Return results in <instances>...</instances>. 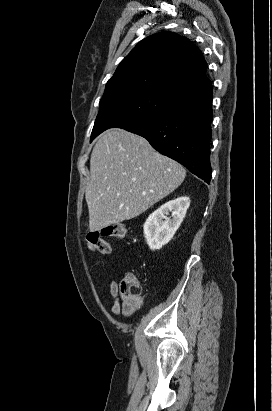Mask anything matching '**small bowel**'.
I'll use <instances>...</instances> for the list:
<instances>
[{"mask_svg":"<svg viewBox=\"0 0 272 411\" xmlns=\"http://www.w3.org/2000/svg\"><path fill=\"white\" fill-rule=\"evenodd\" d=\"M109 291H110L111 296L114 299L113 305H112V308H111L112 314L114 316H119L121 314V311H122V305H121L120 300L118 298V284H117L116 281L110 282Z\"/></svg>","mask_w":272,"mask_h":411,"instance_id":"c3829d8e","label":"small bowel"}]
</instances>
